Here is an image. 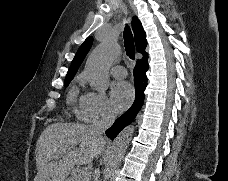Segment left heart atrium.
Returning <instances> with one entry per match:
<instances>
[{
  "label": "left heart atrium",
  "mask_w": 228,
  "mask_h": 181,
  "mask_svg": "<svg viewBox=\"0 0 228 181\" xmlns=\"http://www.w3.org/2000/svg\"><path fill=\"white\" fill-rule=\"evenodd\" d=\"M112 100L116 107H124L133 97L134 92L132 86L124 81L115 82L112 85Z\"/></svg>",
  "instance_id": "obj_1"
}]
</instances>
